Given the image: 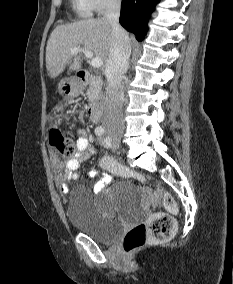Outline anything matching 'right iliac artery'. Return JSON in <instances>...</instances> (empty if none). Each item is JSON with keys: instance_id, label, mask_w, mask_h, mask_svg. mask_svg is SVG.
<instances>
[{"instance_id": "82829eb1", "label": "right iliac artery", "mask_w": 233, "mask_h": 284, "mask_svg": "<svg viewBox=\"0 0 233 284\" xmlns=\"http://www.w3.org/2000/svg\"><path fill=\"white\" fill-rule=\"evenodd\" d=\"M104 128L102 126H99L95 129V134L98 136H102L104 134Z\"/></svg>"}]
</instances>
